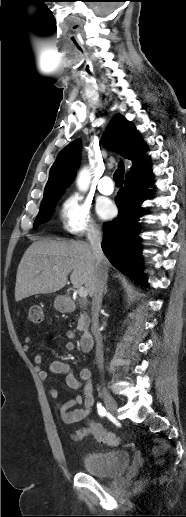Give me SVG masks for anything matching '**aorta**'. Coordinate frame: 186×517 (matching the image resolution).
<instances>
[{
  "instance_id": "obj_1",
  "label": "aorta",
  "mask_w": 186,
  "mask_h": 517,
  "mask_svg": "<svg viewBox=\"0 0 186 517\" xmlns=\"http://www.w3.org/2000/svg\"><path fill=\"white\" fill-rule=\"evenodd\" d=\"M91 180V173L88 168H84L78 176L77 186L81 191H86L88 189L89 183Z\"/></svg>"
}]
</instances>
